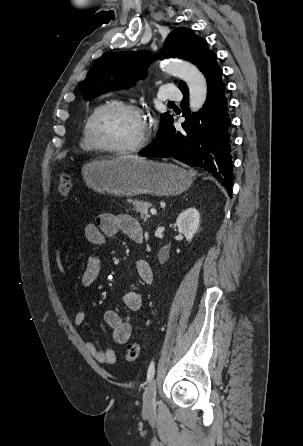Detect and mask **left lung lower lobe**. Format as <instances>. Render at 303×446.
<instances>
[{"label": "left lung lower lobe", "instance_id": "0a47b994", "mask_svg": "<svg viewBox=\"0 0 303 446\" xmlns=\"http://www.w3.org/2000/svg\"><path fill=\"white\" fill-rule=\"evenodd\" d=\"M202 73L206 77L207 101L199 112L189 111L188 88L182 89V115L186 118L183 129L177 131L170 119L157 134V139L139 152L143 157H173L189 166L202 167L210 172L232 196V160L230 156L231 124L225 99L226 85L222 81V69L213 55Z\"/></svg>", "mask_w": 303, "mask_h": 446}]
</instances>
